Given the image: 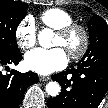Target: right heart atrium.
<instances>
[{"mask_svg": "<svg viewBox=\"0 0 108 108\" xmlns=\"http://www.w3.org/2000/svg\"><path fill=\"white\" fill-rule=\"evenodd\" d=\"M17 45L22 50L33 47L36 43V27L34 20L30 16L24 17L15 29Z\"/></svg>", "mask_w": 108, "mask_h": 108, "instance_id": "obj_1", "label": "right heart atrium"}]
</instances>
